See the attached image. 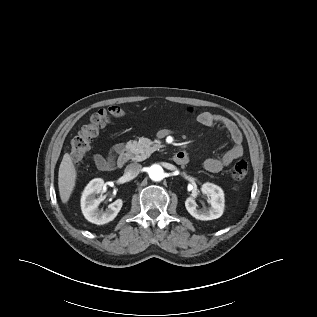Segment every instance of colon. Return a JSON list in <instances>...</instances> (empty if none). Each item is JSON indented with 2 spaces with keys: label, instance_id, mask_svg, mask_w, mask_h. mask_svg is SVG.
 Returning <instances> with one entry per match:
<instances>
[{
  "label": "colon",
  "instance_id": "5ec220e1",
  "mask_svg": "<svg viewBox=\"0 0 317 317\" xmlns=\"http://www.w3.org/2000/svg\"><path fill=\"white\" fill-rule=\"evenodd\" d=\"M124 111L117 106L102 109L94 113L88 124L84 125L78 134L71 140V158L75 164H79L87 150L91 141L98 135L101 129L110 121L112 117H122ZM249 174V166L245 160H240L234 164L231 170V176L234 182L243 181Z\"/></svg>",
  "mask_w": 317,
  "mask_h": 317
}]
</instances>
